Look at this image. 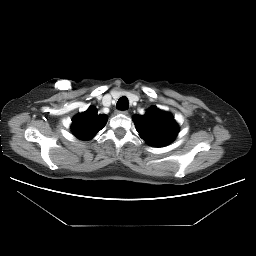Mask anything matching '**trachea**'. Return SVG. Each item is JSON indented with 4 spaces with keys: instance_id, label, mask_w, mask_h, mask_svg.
<instances>
[{
    "instance_id": "1",
    "label": "trachea",
    "mask_w": 256,
    "mask_h": 256,
    "mask_svg": "<svg viewBox=\"0 0 256 256\" xmlns=\"http://www.w3.org/2000/svg\"><path fill=\"white\" fill-rule=\"evenodd\" d=\"M128 107H129V103H128L127 97L123 96V97L119 98V100L117 101V104H116V108L118 110L124 111V110H127Z\"/></svg>"
}]
</instances>
